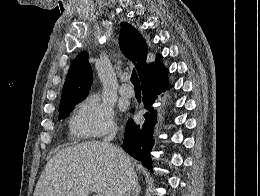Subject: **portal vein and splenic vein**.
<instances>
[{
    "label": "portal vein and splenic vein",
    "instance_id": "1",
    "mask_svg": "<svg viewBox=\"0 0 260 196\" xmlns=\"http://www.w3.org/2000/svg\"><path fill=\"white\" fill-rule=\"evenodd\" d=\"M93 196H101V194H98V192H92Z\"/></svg>",
    "mask_w": 260,
    "mask_h": 196
}]
</instances>
